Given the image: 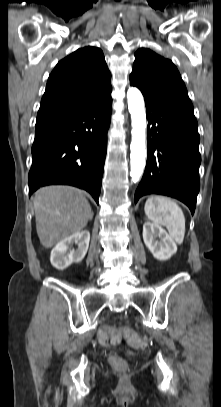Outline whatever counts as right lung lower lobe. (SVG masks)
Instances as JSON below:
<instances>
[{"label":"right lung lower lobe","mask_w":221,"mask_h":407,"mask_svg":"<svg viewBox=\"0 0 221 407\" xmlns=\"http://www.w3.org/2000/svg\"><path fill=\"white\" fill-rule=\"evenodd\" d=\"M111 103L110 96L86 109L36 122L29 195L41 186L67 184L88 191L98 203Z\"/></svg>","instance_id":"obj_1"}]
</instances>
